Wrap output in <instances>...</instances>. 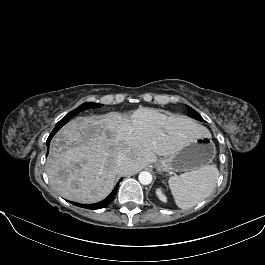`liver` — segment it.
<instances>
[{
    "label": "liver",
    "instance_id": "6515ba94",
    "mask_svg": "<svg viewBox=\"0 0 265 265\" xmlns=\"http://www.w3.org/2000/svg\"><path fill=\"white\" fill-rule=\"evenodd\" d=\"M207 133L192 119L152 108H139L129 118L118 112L78 117L52 142L46 162L49 182L68 200L99 202L112 191L117 175L134 174L156 162L157 155L173 154L185 138Z\"/></svg>",
    "mask_w": 265,
    "mask_h": 265
}]
</instances>
